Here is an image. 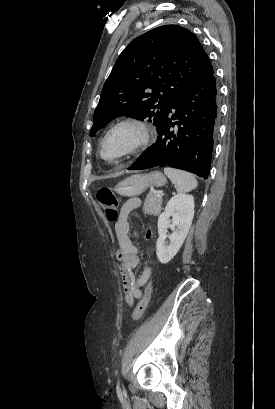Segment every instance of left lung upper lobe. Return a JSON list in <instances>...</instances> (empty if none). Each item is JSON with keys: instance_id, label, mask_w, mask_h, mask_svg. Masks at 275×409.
<instances>
[{"instance_id": "1", "label": "left lung upper lobe", "mask_w": 275, "mask_h": 409, "mask_svg": "<svg viewBox=\"0 0 275 409\" xmlns=\"http://www.w3.org/2000/svg\"><path fill=\"white\" fill-rule=\"evenodd\" d=\"M212 69L188 29L164 25L148 31L118 57L102 89L90 135L119 116L149 117L158 128L184 89Z\"/></svg>"}]
</instances>
